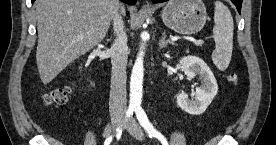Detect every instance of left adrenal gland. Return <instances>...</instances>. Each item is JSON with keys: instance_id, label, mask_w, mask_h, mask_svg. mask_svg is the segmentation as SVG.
<instances>
[{"instance_id": "a2214340", "label": "left adrenal gland", "mask_w": 276, "mask_h": 145, "mask_svg": "<svg viewBox=\"0 0 276 145\" xmlns=\"http://www.w3.org/2000/svg\"><path fill=\"white\" fill-rule=\"evenodd\" d=\"M167 44L175 45V43L173 41H170L169 39L166 40V34L164 32V33H162V38L159 41V48L160 49L165 48L167 46Z\"/></svg>"}]
</instances>
